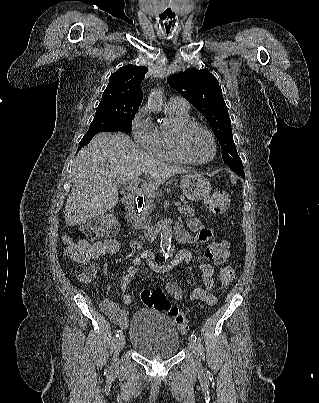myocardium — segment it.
Segmentation results:
<instances>
[{
  "mask_svg": "<svg viewBox=\"0 0 319 403\" xmlns=\"http://www.w3.org/2000/svg\"><path fill=\"white\" fill-rule=\"evenodd\" d=\"M194 129H200V130L204 131L211 141L212 155L210 156V158H208L206 160H203V161L195 160L188 154V152L186 150L185 139H186L187 135ZM173 142H174L175 150H176L177 154L180 156V158L190 164H195V165L208 164L215 159L216 154H217V144H216L215 137H214L213 133L211 132V130L208 127H206L205 125L192 121V120L176 127V129L174 130V134H173Z\"/></svg>",
  "mask_w": 319,
  "mask_h": 403,
  "instance_id": "1",
  "label": "myocardium"
}]
</instances>
